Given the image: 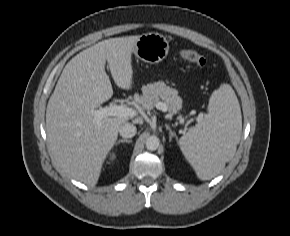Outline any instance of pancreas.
<instances>
[{"label":"pancreas","mask_w":290,"mask_h":236,"mask_svg":"<svg viewBox=\"0 0 290 236\" xmlns=\"http://www.w3.org/2000/svg\"><path fill=\"white\" fill-rule=\"evenodd\" d=\"M160 100L167 105L171 114H176L182 108V99L178 96V91L164 82L143 86L142 95L137 99V105L140 111H149Z\"/></svg>","instance_id":"pancreas-1"}]
</instances>
